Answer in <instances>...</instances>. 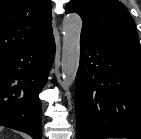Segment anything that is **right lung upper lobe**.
Instances as JSON below:
<instances>
[{"label":"right lung upper lobe","instance_id":"obj_1","mask_svg":"<svg viewBox=\"0 0 141 139\" xmlns=\"http://www.w3.org/2000/svg\"><path fill=\"white\" fill-rule=\"evenodd\" d=\"M50 0H0V54L52 35Z\"/></svg>","mask_w":141,"mask_h":139}]
</instances>
